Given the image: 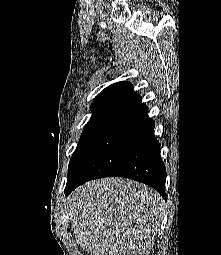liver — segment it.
<instances>
[{
    "label": "liver",
    "instance_id": "6515ba94",
    "mask_svg": "<svg viewBox=\"0 0 221 255\" xmlns=\"http://www.w3.org/2000/svg\"><path fill=\"white\" fill-rule=\"evenodd\" d=\"M67 205L75 239L91 255H149L164 217L158 192L117 177L87 182Z\"/></svg>",
    "mask_w": 221,
    "mask_h": 255
}]
</instances>
